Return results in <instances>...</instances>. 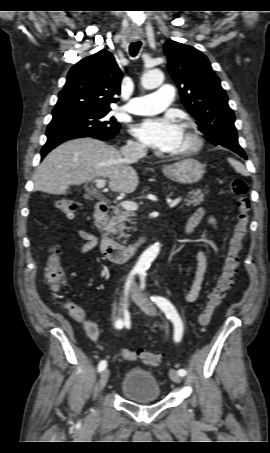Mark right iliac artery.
Listing matches in <instances>:
<instances>
[{
	"label": "right iliac artery",
	"instance_id": "1",
	"mask_svg": "<svg viewBox=\"0 0 270 453\" xmlns=\"http://www.w3.org/2000/svg\"><path fill=\"white\" fill-rule=\"evenodd\" d=\"M134 275H135V273H131V275H130V277H129L127 283H126V293H127L128 288L130 287V283H131V280H132V278H133ZM125 306H126V304H125ZM123 325H124V323H123L122 319H117V320H116V322H115V327H116L117 329H122V328H123ZM106 367H107V362H106V360H102V361L99 363V365H98V371H99V372H102Z\"/></svg>",
	"mask_w": 270,
	"mask_h": 453
}]
</instances>
